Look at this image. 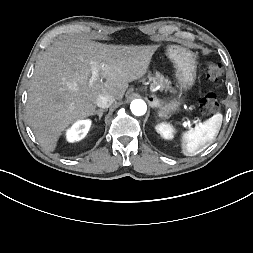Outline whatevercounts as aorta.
Wrapping results in <instances>:
<instances>
[{
    "label": "aorta",
    "instance_id": "1",
    "mask_svg": "<svg viewBox=\"0 0 253 253\" xmlns=\"http://www.w3.org/2000/svg\"><path fill=\"white\" fill-rule=\"evenodd\" d=\"M131 112L136 116H142L147 111V105L142 99H135L130 104Z\"/></svg>",
    "mask_w": 253,
    "mask_h": 253
}]
</instances>
